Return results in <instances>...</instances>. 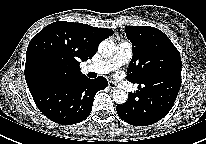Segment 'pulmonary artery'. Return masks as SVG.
I'll list each match as a JSON object with an SVG mask.
<instances>
[{
    "label": "pulmonary artery",
    "instance_id": "pulmonary-artery-1",
    "mask_svg": "<svg viewBox=\"0 0 206 144\" xmlns=\"http://www.w3.org/2000/svg\"><path fill=\"white\" fill-rule=\"evenodd\" d=\"M132 58V46L128 41L118 44L116 54L109 59L93 63L87 67V71L97 74H107L127 64Z\"/></svg>",
    "mask_w": 206,
    "mask_h": 144
}]
</instances>
